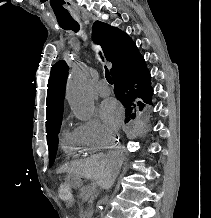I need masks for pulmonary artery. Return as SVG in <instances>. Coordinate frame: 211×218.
<instances>
[{
  "label": "pulmonary artery",
  "instance_id": "obj_1",
  "mask_svg": "<svg viewBox=\"0 0 211 218\" xmlns=\"http://www.w3.org/2000/svg\"><path fill=\"white\" fill-rule=\"evenodd\" d=\"M96 93L101 97H106L110 95L111 89L109 87L108 82L105 79H101L98 81L95 87Z\"/></svg>",
  "mask_w": 211,
  "mask_h": 218
}]
</instances>
